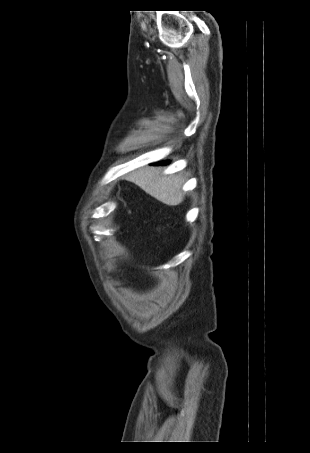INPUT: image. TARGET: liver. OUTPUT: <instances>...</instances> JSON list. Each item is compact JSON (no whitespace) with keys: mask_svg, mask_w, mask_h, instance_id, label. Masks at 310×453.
<instances>
[{"mask_svg":"<svg viewBox=\"0 0 310 453\" xmlns=\"http://www.w3.org/2000/svg\"><path fill=\"white\" fill-rule=\"evenodd\" d=\"M125 179L166 205L177 206L183 201L184 180L181 176H166L158 168L145 167L130 173Z\"/></svg>","mask_w":310,"mask_h":453,"instance_id":"1","label":"liver"}]
</instances>
